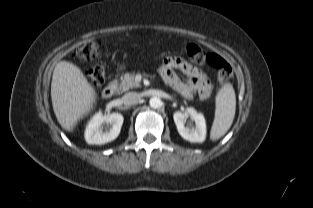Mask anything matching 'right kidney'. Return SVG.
Instances as JSON below:
<instances>
[{"mask_svg": "<svg viewBox=\"0 0 313 208\" xmlns=\"http://www.w3.org/2000/svg\"><path fill=\"white\" fill-rule=\"evenodd\" d=\"M124 118L120 113L103 115L96 113L89 121L85 130L88 144H105L116 139L120 133Z\"/></svg>", "mask_w": 313, "mask_h": 208, "instance_id": "ca27d5eb", "label": "right kidney"}]
</instances>
